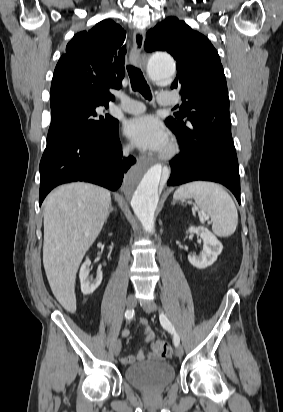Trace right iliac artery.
<instances>
[{
  "label": "right iliac artery",
  "instance_id": "1",
  "mask_svg": "<svg viewBox=\"0 0 283 412\" xmlns=\"http://www.w3.org/2000/svg\"><path fill=\"white\" fill-rule=\"evenodd\" d=\"M133 316H134V310H133V309H128V310H126V312H125V317H126L127 319H131Z\"/></svg>",
  "mask_w": 283,
  "mask_h": 412
}]
</instances>
